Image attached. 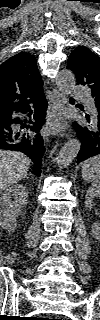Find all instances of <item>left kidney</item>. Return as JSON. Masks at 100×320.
<instances>
[{
    "mask_svg": "<svg viewBox=\"0 0 100 320\" xmlns=\"http://www.w3.org/2000/svg\"><path fill=\"white\" fill-rule=\"evenodd\" d=\"M100 196V185L99 184H93L91 187H89V189L87 190L86 193V201H85V205L86 207L91 210L92 207L94 206V199L96 197ZM92 232L96 235H99V226L97 223H94L92 226Z\"/></svg>",
    "mask_w": 100,
    "mask_h": 320,
    "instance_id": "5707ae66",
    "label": "left kidney"
}]
</instances>
